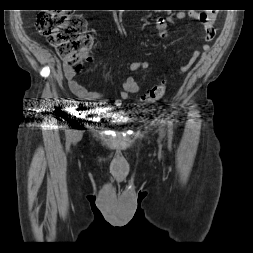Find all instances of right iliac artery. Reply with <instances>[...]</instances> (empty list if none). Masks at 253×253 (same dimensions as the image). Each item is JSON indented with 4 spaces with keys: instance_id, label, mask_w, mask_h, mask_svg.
Listing matches in <instances>:
<instances>
[{
    "instance_id": "obj_1",
    "label": "right iliac artery",
    "mask_w": 253,
    "mask_h": 253,
    "mask_svg": "<svg viewBox=\"0 0 253 253\" xmlns=\"http://www.w3.org/2000/svg\"><path fill=\"white\" fill-rule=\"evenodd\" d=\"M71 120H68V122L65 124L66 127V138L71 139V136L69 135L71 132L70 127Z\"/></svg>"
}]
</instances>
